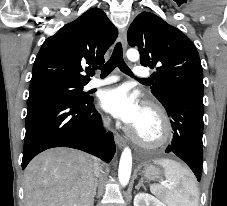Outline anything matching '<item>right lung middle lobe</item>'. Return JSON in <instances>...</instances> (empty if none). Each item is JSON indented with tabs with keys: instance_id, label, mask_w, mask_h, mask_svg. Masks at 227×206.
Listing matches in <instances>:
<instances>
[{
	"instance_id": "obj_1",
	"label": "right lung middle lobe",
	"mask_w": 227,
	"mask_h": 206,
	"mask_svg": "<svg viewBox=\"0 0 227 206\" xmlns=\"http://www.w3.org/2000/svg\"><path fill=\"white\" fill-rule=\"evenodd\" d=\"M84 85L56 79L36 81L30 84L27 104L43 99L84 101L90 98L82 91Z\"/></svg>"
}]
</instances>
